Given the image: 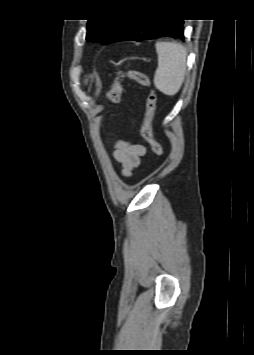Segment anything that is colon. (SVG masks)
<instances>
[{
  "instance_id": "colon-1",
  "label": "colon",
  "mask_w": 254,
  "mask_h": 355,
  "mask_svg": "<svg viewBox=\"0 0 254 355\" xmlns=\"http://www.w3.org/2000/svg\"><path fill=\"white\" fill-rule=\"evenodd\" d=\"M125 79L136 81L137 83L150 88L146 98L141 134L143 139L150 145L153 153L157 156H161L163 154V146L155 139L152 128L153 118L157 108V95L155 90L151 87V81L148 76L135 70L117 73L112 86L106 92V100L110 104H117L120 102L123 92V81Z\"/></svg>"
}]
</instances>
